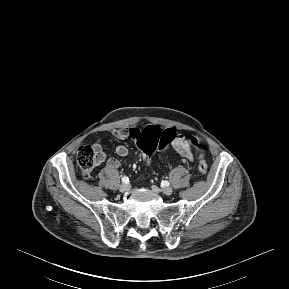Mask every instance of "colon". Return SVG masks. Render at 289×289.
Returning <instances> with one entry per match:
<instances>
[{"label":"colon","instance_id":"obj_1","mask_svg":"<svg viewBox=\"0 0 289 289\" xmlns=\"http://www.w3.org/2000/svg\"><path fill=\"white\" fill-rule=\"evenodd\" d=\"M131 136L136 140L139 149L143 154V159L150 164L152 156L156 150L165 151L172 144L177 134L172 129L161 130L158 126H147L143 130L131 129ZM188 142L195 146H200L197 138H189ZM77 163L85 178L93 175L95 168L100 164V156L91 146H83L77 154ZM208 166L203 155H200L198 162V171L201 175H206Z\"/></svg>","mask_w":289,"mask_h":289}]
</instances>
